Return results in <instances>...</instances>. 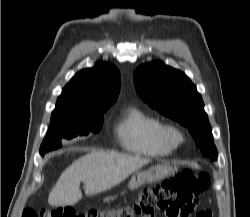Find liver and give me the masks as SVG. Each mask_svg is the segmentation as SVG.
Returning a JSON list of instances; mask_svg holds the SVG:
<instances>
[{
    "instance_id": "liver-1",
    "label": "liver",
    "mask_w": 250,
    "mask_h": 217,
    "mask_svg": "<svg viewBox=\"0 0 250 217\" xmlns=\"http://www.w3.org/2000/svg\"><path fill=\"white\" fill-rule=\"evenodd\" d=\"M148 163L145 158L116 152H91L74 161L60 175L48 197L51 206H71L81 198V181L87 195L106 191Z\"/></svg>"
}]
</instances>
